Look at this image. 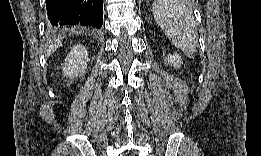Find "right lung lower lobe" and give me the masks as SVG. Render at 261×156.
<instances>
[{
	"instance_id": "1",
	"label": "right lung lower lobe",
	"mask_w": 261,
	"mask_h": 156,
	"mask_svg": "<svg viewBox=\"0 0 261 156\" xmlns=\"http://www.w3.org/2000/svg\"><path fill=\"white\" fill-rule=\"evenodd\" d=\"M49 26L63 28L90 26L101 28L102 0H46Z\"/></svg>"
}]
</instances>
